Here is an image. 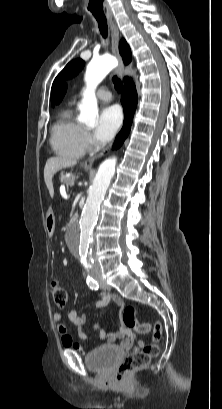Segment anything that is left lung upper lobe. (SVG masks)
<instances>
[{"mask_svg": "<svg viewBox=\"0 0 222 409\" xmlns=\"http://www.w3.org/2000/svg\"><path fill=\"white\" fill-rule=\"evenodd\" d=\"M83 66H84L83 60L75 59L69 62L65 66V68L58 74V76L55 78L53 85H52V91H51L52 105H53V96L55 93V89L57 85L59 84V82L62 81L63 79L72 78L73 76L78 74V72L83 68Z\"/></svg>", "mask_w": 222, "mask_h": 409, "instance_id": "obj_1", "label": "left lung upper lobe"}]
</instances>
